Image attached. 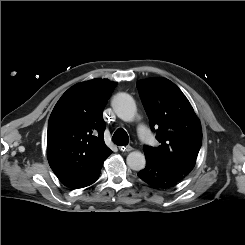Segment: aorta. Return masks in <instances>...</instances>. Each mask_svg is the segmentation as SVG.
I'll return each instance as SVG.
<instances>
[{"mask_svg": "<svg viewBox=\"0 0 245 245\" xmlns=\"http://www.w3.org/2000/svg\"><path fill=\"white\" fill-rule=\"evenodd\" d=\"M112 107L116 115L126 122L134 120L137 112L134 99L127 93H118L112 101ZM146 164L145 156L139 151L129 153L127 165L135 171L144 169Z\"/></svg>", "mask_w": 245, "mask_h": 245, "instance_id": "1", "label": "aorta"}]
</instances>
